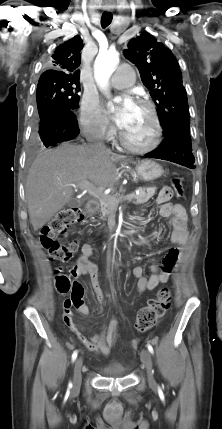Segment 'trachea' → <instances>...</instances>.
Returning <instances> with one entry per match:
<instances>
[{"mask_svg": "<svg viewBox=\"0 0 222 429\" xmlns=\"http://www.w3.org/2000/svg\"><path fill=\"white\" fill-rule=\"evenodd\" d=\"M112 13H103L101 17V26L106 28L112 21Z\"/></svg>", "mask_w": 222, "mask_h": 429, "instance_id": "1", "label": "trachea"}]
</instances>
